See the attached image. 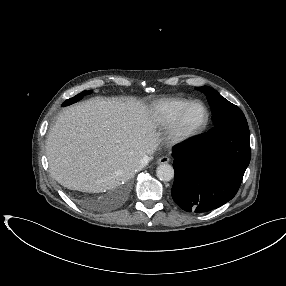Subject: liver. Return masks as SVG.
<instances>
[{
	"label": "liver",
	"mask_w": 286,
	"mask_h": 286,
	"mask_svg": "<svg viewBox=\"0 0 286 286\" xmlns=\"http://www.w3.org/2000/svg\"><path fill=\"white\" fill-rule=\"evenodd\" d=\"M147 107L135 98H93L60 113L46 143L62 186L100 193L119 186L159 144Z\"/></svg>",
	"instance_id": "1"
}]
</instances>
